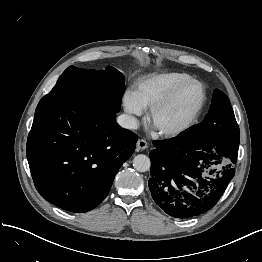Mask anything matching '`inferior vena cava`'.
I'll return each mask as SVG.
<instances>
[{
	"mask_svg": "<svg viewBox=\"0 0 262 262\" xmlns=\"http://www.w3.org/2000/svg\"><path fill=\"white\" fill-rule=\"evenodd\" d=\"M117 123L126 129H137L139 124L134 116L128 114H122L117 117Z\"/></svg>",
	"mask_w": 262,
	"mask_h": 262,
	"instance_id": "1",
	"label": "inferior vena cava"
}]
</instances>
